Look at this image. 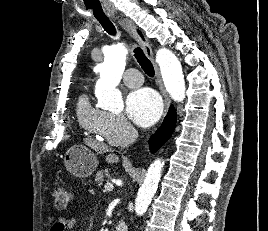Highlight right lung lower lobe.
I'll return each instance as SVG.
<instances>
[{
	"label": "right lung lower lobe",
	"mask_w": 268,
	"mask_h": 231,
	"mask_svg": "<svg viewBox=\"0 0 268 231\" xmlns=\"http://www.w3.org/2000/svg\"><path fill=\"white\" fill-rule=\"evenodd\" d=\"M176 118V111L171 106L162 125L150 139L151 152H156L171 137L176 125Z\"/></svg>",
	"instance_id": "right-lung-lower-lobe-1"
}]
</instances>
